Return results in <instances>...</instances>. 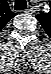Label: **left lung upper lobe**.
I'll return each mask as SVG.
<instances>
[{
  "label": "left lung upper lobe",
  "instance_id": "5c2ea615",
  "mask_svg": "<svg viewBox=\"0 0 51 74\" xmlns=\"http://www.w3.org/2000/svg\"><path fill=\"white\" fill-rule=\"evenodd\" d=\"M36 18L39 20V22L42 24V26H43V23H44V15L43 14H39V15H37L36 16Z\"/></svg>",
  "mask_w": 51,
  "mask_h": 74
}]
</instances>
